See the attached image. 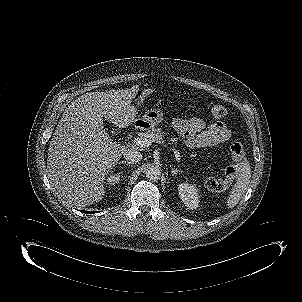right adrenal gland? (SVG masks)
<instances>
[{
	"mask_svg": "<svg viewBox=\"0 0 302 302\" xmlns=\"http://www.w3.org/2000/svg\"><path fill=\"white\" fill-rule=\"evenodd\" d=\"M119 164H125L127 166H130L132 163L129 161H121V162H119Z\"/></svg>",
	"mask_w": 302,
	"mask_h": 302,
	"instance_id": "2a0ac1e0",
	"label": "right adrenal gland"
}]
</instances>
